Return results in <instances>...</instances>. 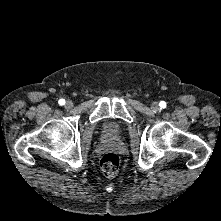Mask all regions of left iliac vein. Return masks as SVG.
Returning <instances> with one entry per match:
<instances>
[{
	"label": "left iliac vein",
	"mask_w": 221,
	"mask_h": 221,
	"mask_svg": "<svg viewBox=\"0 0 221 221\" xmlns=\"http://www.w3.org/2000/svg\"><path fill=\"white\" fill-rule=\"evenodd\" d=\"M151 108L153 111H158L159 110V103L158 102H153L151 104Z\"/></svg>",
	"instance_id": "obj_1"
}]
</instances>
